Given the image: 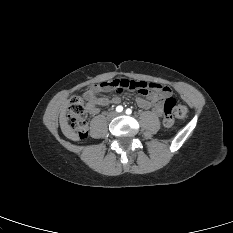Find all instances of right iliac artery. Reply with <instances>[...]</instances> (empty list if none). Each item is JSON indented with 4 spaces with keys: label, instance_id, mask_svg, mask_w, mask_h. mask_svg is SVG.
I'll return each mask as SVG.
<instances>
[{
    "label": "right iliac artery",
    "instance_id": "obj_1",
    "mask_svg": "<svg viewBox=\"0 0 233 233\" xmlns=\"http://www.w3.org/2000/svg\"><path fill=\"white\" fill-rule=\"evenodd\" d=\"M116 111H117V112H122V111H123V107L120 106V105L117 106V107H116Z\"/></svg>",
    "mask_w": 233,
    "mask_h": 233
}]
</instances>
